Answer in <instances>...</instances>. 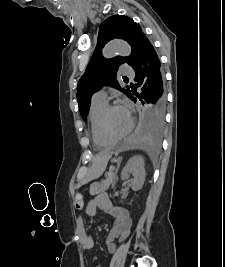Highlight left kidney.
I'll return each mask as SVG.
<instances>
[{
	"mask_svg": "<svg viewBox=\"0 0 225 267\" xmlns=\"http://www.w3.org/2000/svg\"><path fill=\"white\" fill-rule=\"evenodd\" d=\"M130 175L133 176L131 179V187L133 191L140 190L144 184L146 176L144 159L141 156H134L130 158L122 169L121 178L123 180H129Z\"/></svg>",
	"mask_w": 225,
	"mask_h": 267,
	"instance_id": "left-kidney-1",
	"label": "left kidney"
}]
</instances>
